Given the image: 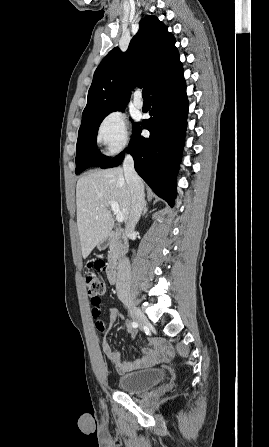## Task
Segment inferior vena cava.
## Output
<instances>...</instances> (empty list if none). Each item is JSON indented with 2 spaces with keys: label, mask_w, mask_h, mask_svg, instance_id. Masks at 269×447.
Listing matches in <instances>:
<instances>
[{
  "label": "inferior vena cava",
  "mask_w": 269,
  "mask_h": 447,
  "mask_svg": "<svg viewBox=\"0 0 269 447\" xmlns=\"http://www.w3.org/2000/svg\"><path fill=\"white\" fill-rule=\"evenodd\" d=\"M123 170L125 180L130 188L131 194V210L128 222L125 227L126 233H134L135 225L139 222V218L144 208V186L141 178L134 170V160L130 154H127L123 162ZM131 279V265L128 257L122 259L118 265L116 291L120 295H129Z\"/></svg>",
  "instance_id": "1"
}]
</instances>
